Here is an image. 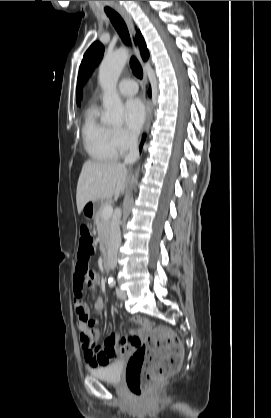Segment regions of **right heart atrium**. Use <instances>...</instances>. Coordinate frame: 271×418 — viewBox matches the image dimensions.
I'll list each match as a JSON object with an SVG mask.
<instances>
[{
    "label": "right heart atrium",
    "mask_w": 271,
    "mask_h": 418,
    "mask_svg": "<svg viewBox=\"0 0 271 418\" xmlns=\"http://www.w3.org/2000/svg\"><path fill=\"white\" fill-rule=\"evenodd\" d=\"M112 140L117 152L125 153L134 147L136 137L124 128H114L112 130Z\"/></svg>",
    "instance_id": "obj_1"
}]
</instances>
